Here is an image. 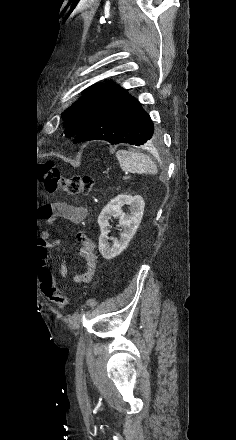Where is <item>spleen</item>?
Wrapping results in <instances>:
<instances>
[{
	"instance_id": "spleen-1",
	"label": "spleen",
	"mask_w": 236,
	"mask_h": 440,
	"mask_svg": "<svg viewBox=\"0 0 236 440\" xmlns=\"http://www.w3.org/2000/svg\"><path fill=\"white\" fill-rule=\"evenodd\" d=\"M121 169L125 172H135L138 174L157 173V166L152 159L141 152L118 150L116 152Z\"/></svg>"
}]
</instances>
